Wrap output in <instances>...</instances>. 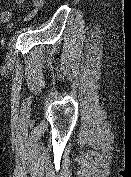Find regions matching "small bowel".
Wrapping results in <instances>:
<instances>
[{
	"label": "small bowel",
	"instance_id": "small-bowel-1",
	"mask_svg": "<svg viewBox=\"0 0 131 177\" xmlns=\"http://www.w3.org/2000/svg\"><path fill=\"white\" fill-rule=\"evenodd\" d=\"M25 1L26 0H15V3L18 6H23ZM32 2L34 8L33 10L24 14L23 19L25 20L33 18L37 14L39 9L42 7V5L39 3V0H32ZM12 18V13L9 10H4L0 13V23L7 24L9 29L13 28Z\"/></svg>",
	"mask_w": 131,
	"mask_h": 177
}]
</instances>
